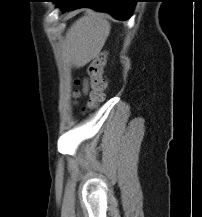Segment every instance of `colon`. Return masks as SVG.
<instances>
[{
    "instance_id": "1",
    "label": "colon",
    "mask_w": 202,
    "mask_h": 217,
    "mask_svg": "<svg viewBox=\"0 0 202 217\" xmlns=\"http://www.w3.org/2000/svg\"><path fill=\"white\" fill-rule=\"evenodd\" d=\"M106 64V53L99 52L92 58L88 67L90 77L91 92L87 106L84 110L96 109L104 99V89L106 81L103 77L104 66Z\"/></svg>"
}]
</instances>
